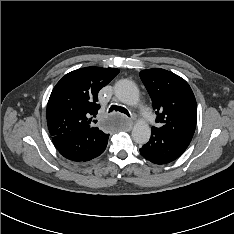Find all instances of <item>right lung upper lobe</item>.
Masks as SVG:
<instances>
[{
	"mask_svg": "<svg viewBox=\"0 0 234 234\" xmlns=\"http://www.w3.org/2000/svg\"><path fill=\"white\" fill-rule=\"evenodd\" d=\"M118 73L116 68L85 67L61 78L47 105V124L51 136L94 128L97 121L92 117L100 108L97 94Z\"/></svg>",
	"mask_w": 234,
	"mask_h": 234,
	"instance_id": "obj_1",
	"label": "right lung upper lobe"
}]
</instances>
